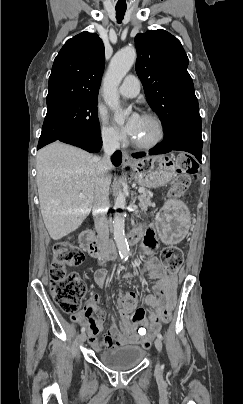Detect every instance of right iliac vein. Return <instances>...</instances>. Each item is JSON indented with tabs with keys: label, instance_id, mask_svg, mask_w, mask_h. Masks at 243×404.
I'll return each mask as SVG.
<instances>
[{
	"label": "right iliac vein",
	"instance_id": "right-iliac-vein-1",
	"mask_svg": "<svg viewBox=\"0 0 243 404\" xmlns=\"http://www.w3.org/2000/svg\"><path fill=\"white\" fill-rule=\"evenodd\" d=\"M86 340V334L84 332L81 333L80 335V341L83 343Z\"/></svg>",
	"mask_w": 243,
	"mask_h": 404
}]
</instances>
